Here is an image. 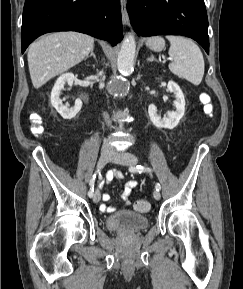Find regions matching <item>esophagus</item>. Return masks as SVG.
<instances>
[{
	"label": "esophagus",
	"mask_w": 243,
	"mask_h": 289,
	"mask_svg": "<svg viewBox=\"0 0 243 289\" xmlns=\"http://www.w3.org/2000/svg\"><path fill=\"white\" fill-rule=\"evenodd\" d=\"M120 4H121V13H122V22L124 25L129 26L130 25V20H129V15L127 12V1L126 0H120Z\"/></svg>",
	"instance_id": "esophagus-1"
}]
</instances>
